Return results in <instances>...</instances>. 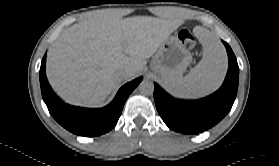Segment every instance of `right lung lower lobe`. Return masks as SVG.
Listing matches in <instances>:
<instances>
[{"label": "right lung lower lobe", "instance_id": "1", "mask_svg": "<svg viewBox=\"0 0 279 166\" xmlns=\"http://www.w3.org/2000/svg\"><path fill=\"white\" fill-rule=\"evenodd\" d=\"M46 55L40 67V85L43 100L53 118L70 132L79 136H98L110 131L117 123L124 104L142 77L122 86L113 101L104 108L88 109L68 105L51 90L46 74Z\"/></svg>", "mask_w": 279, "mask_h": 166}]
</instances>
